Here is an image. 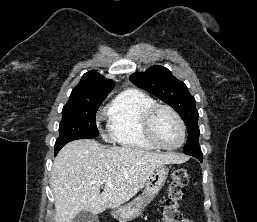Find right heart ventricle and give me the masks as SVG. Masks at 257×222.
<instances>
[{"label":"right heart ventricle","mask_w":257,"mask_h":222,"mask_svg":"<svg viewBox=\"0 0 257 222\" xmlns=\"http://www.w3.org/2000/svg\"><path fill=\"white\" fill-rule=\"evenodd\" d=\"M156 101L148 94L129 89L117 95L107 106V127L110 138L122 147L154 150L142 129V118Z\"/></svg>","instance_id":"obj_1"}]
</instances>
